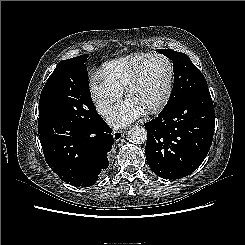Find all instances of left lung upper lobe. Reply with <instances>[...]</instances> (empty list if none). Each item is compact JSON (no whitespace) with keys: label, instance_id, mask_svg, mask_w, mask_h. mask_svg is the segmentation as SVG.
Returning a JSON list of instances; mask_svg holds the SVG:
<instances>
[{"label":"left lung upper lobe","instance_id":"5c2ea615","mask_svg":"<svg viewBox=\"0 0 245 245\" xmlns=\"http://www.w3.org/2000/svg\"><path fill=\"white\" fill-rule=\"evenodd\" d=\"M157 52L171 59L174 69L173 89L163 110L171 108L182 98L194 91L208 89L204 75L186 54L171 49H159Z\"/></svg>","mask_w":245,"mask_h":245}]
</instances>
